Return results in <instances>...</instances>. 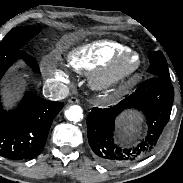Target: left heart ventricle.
Returning a JSON list of instances; mask_svg holds the SVG:
<instances>
[{
    "label": "left heart ventricle",
    "instance_id": "b2bd125f",
    "mask_svg": "<svg viewBox=\"0 0 183 183\" xmlns=\"http://www.w3.org/2000/svg\"><path fill=\"white\" fill-rule=\"evenodd\" d=\"M137 63V58L134 56L127 57L121 64L122 70H128L134 67Z\"/></svg>",
    "mask_w": 183,
    "mask_h": 183
}]
</instances>
